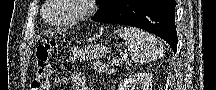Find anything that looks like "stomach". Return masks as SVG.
I'll return each mask as SVG.
<instances>
[{
	"mask_svg": "<svg viewBox=\"0 0 216 90\" xmlns=\"http://www.w3.org/2000/svg\"><path fill=\"white\" fill-rule=\"evenodd\" d=\"M107 52L108 51L106 47L97 44L94 46H88L85 49L78 50L76 53L73 54V56L81 60H95L101 58Z\"/></svg>",
	"mask_w": 216,
	"mask_h": 90,
	"instance_id": "stomach-1",
	"label": "stomach"
}]
</instances>
